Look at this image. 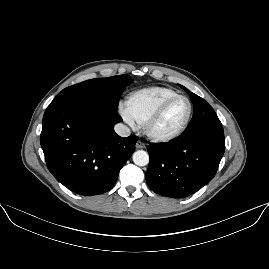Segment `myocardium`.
I'll return each instance as SVG.
<instances>
[{
	"label": "myocardium",
	"mask_w": 269,
	"mask_h": 269,
	"mask_svg": "<svg viewBox=\"0 0 269 269\" xmlns=\"http://www.w3.org/2000/svg\"><path fill=\"white\" fill-rule=\"evenodd\" d=\"M184 99L188 103V111L186 118L181 125V127L174 133L170 135H158L153 131V126L158 122V120L163 116L167 108L176 100ZM192 115V103L190 99L184 95H176L167 100H165L146 120L145 124L143 125V129L145 134L154 142L157 143H166L176 138L180 137L184 131L187 129L190 119Z\"/></svg>",
	"instance_id": "1"
}]
</instances>
